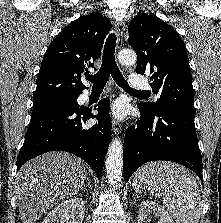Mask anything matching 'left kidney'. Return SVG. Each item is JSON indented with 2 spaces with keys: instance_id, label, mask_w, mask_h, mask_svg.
Masks as SVG:
<instances>
[{
  "instance_id": "1",
  "label": "left kidney",
  "mask_w": 221,
  "mask_h": 223,
  "mask_svg": "<svg viewBox=\"0 0 221 223\" xmlns=\"http://www.w3.org/2000/svg\"><path fill=\"white\" fill-rule=\"evenodd\" d=\"M150 212H153L160 217L158 223H174L165 208L153 201H145L141 204L138 211V223H146V216Z\"/></svg>"
}]
</instances>
